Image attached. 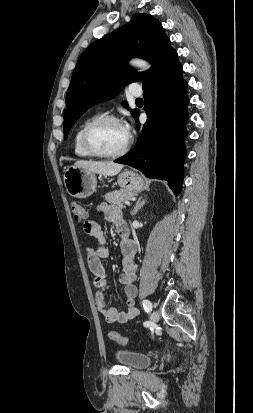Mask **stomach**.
Wrapping results in <instances>:
<instances>
[{
  "mask_svg": "<svg viewBox=\"0 0 253 413\" xmlns=\"http://www.w3.org/2000/svg\"><path fill=\"white\" fill-rule=\"evenodd\" d=\"M117 183L123 190L132 193L141 192L145 189L143 178L131 170L121 172L118 175ZM64 185L70 196L87 198L96 190L97 177L95 173L72 165L64 172Z\"/></svg>",
  "mask_w": 253,
  "mask_h": 413,
  "instance_id": "0dacf381",
  "label": "stomach"
}]
</instances>
